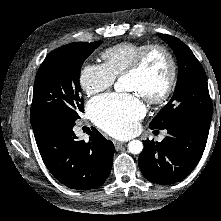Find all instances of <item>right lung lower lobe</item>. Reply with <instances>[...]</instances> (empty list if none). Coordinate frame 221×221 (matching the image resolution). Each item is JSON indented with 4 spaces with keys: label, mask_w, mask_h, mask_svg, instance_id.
<instances>
[{
    "label": "right lung lower lobe",
    "mask_w": 221,
    "mask_h": 221,
    "mask_svg": "<svg viewBox=\"0 0 221 221\" xmlns=\"http://www.w3.org/2000/svg\"><path fill=\"white\" fill-rule=\"evenodd\" d=\"M75 121L51 118L33 127L41 157L50 173L65 186L89 190L101 186L110 174L114 145L95 128L89 142L77 140Z\"/></svg>",
    "instance_id": "1"
}]
</instances>
